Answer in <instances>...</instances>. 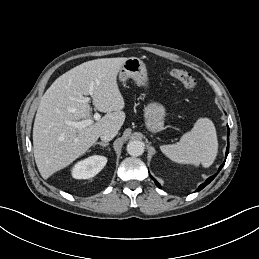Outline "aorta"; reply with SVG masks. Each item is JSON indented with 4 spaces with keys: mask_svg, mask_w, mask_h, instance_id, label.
I'll return each instance as SVG.
<instances>
[{
    "mask_svg": "<svg viewBox=\"0 0 259 259\" xmlns=\"http://www.w3.org/2000/svg\"><path fill=\"white\" fill-rule=\"evenodd\" d=\"M144 144L139 140L130 141L127 144V152L133 157L141 156L144 153Z\"/></svg>",
    "mask_w": 259,
    "mask_h": 259,
    "instance_id": "762f6f07",
    "label": "aorta"
}]
</instances>
